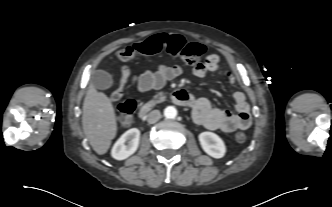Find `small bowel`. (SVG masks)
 <instances>
[{
  "instance_id": "small-bowel-1",
  "label": "small bowel",
  "mask_w": 332,
  "mask_h": 207,
  "mask_svg": "<svg viewBox=\"0 0 332 207\" xmlns=\"http://www.w3.org/2000/svg\"><path fill=\"white\" fill-rule=\"evenodd\" d=\"M219 63L220 59L217 55H208L203 62L197 63L193 67V74L198 78H203L216 71ZM182 72L183 69L178 65L162 64L156 71L147 70L141 75H131L129 71H126L123 73L121 83H125L130 78L133 88L139 92H146L161 89L168 81L180 76ZM226 78L231 85H236V76L233 72H227ZM233 99L236 113L213 107L205 97L194 99L191 107L195 122L209 130L223 132L247 129L251 125V115L246 97L243 92L236 90L233 93Z\"/></svg>"
}]
</instances>
